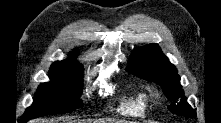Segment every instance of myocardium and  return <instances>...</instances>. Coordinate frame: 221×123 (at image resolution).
<instances>
[{
    "instance_id": "1",
    "label": "myocardium",
    "mask_w": 221,
    "mask_h": 123,
    "mask_svg": "<svg viewBox=\"0 0 221 123\" xmlns=\"http://www.w3.org/2000/svg\"><path fill=\"white\" fill-rule=\"evenodd\" d=\"M151 96H152V98L158 100V99L161 98V93H160V91H158V90H156V89H153V90L151 91Z\"/></svg>"
}]
</instances>
